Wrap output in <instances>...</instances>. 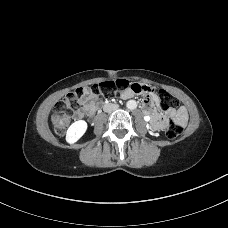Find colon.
<instances>
[{
	"label": "colon",
	"instance_id": "obj_1",
	"mask_svg": "<svg viewBox=\"0 0 228 228\" xmlns=\"http://www.w3.org/2000/svg\"><path fill=\"white\" fill-rule=\"evenodd\" d=\"M109 88L127 89L130 88L137 95L150 97L151 89L139 83H130L126 79H116L94 84L92 88H78L69 93L62 100L61 104L54 110L52 121L57 134H62L70 121V111L77 108L89 91L100 93ZM160 107L164 111H171L178 107V99L165 90L159 91ZM182 133V126L174 120H169L165 134L170 139L178 138Z\"/></svg>",
	"mask_w": 228,
	"mask_h": 228
}]
</instances>
